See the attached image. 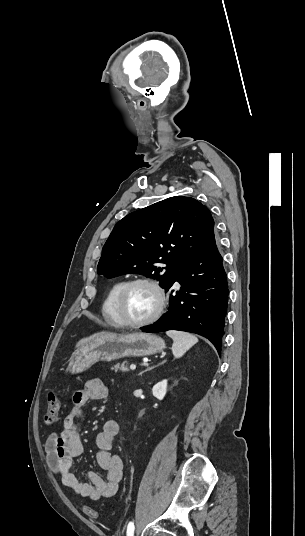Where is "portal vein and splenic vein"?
<instances>
[{
	"instance_id": "portal-vein-and-splenic-vein-1",
	"label": "portal vein and splenic vein",
	"mask_w": 305,
	"mask_h": 536,
	"mask_svg": "<svg viewBox=\"0 0 305 536\" xmlns=\"http://www.w3.org/2000/svg\"><path fill=\"white\" fill-rule=\"evenodd\" d=\"M130 370H136V366H134V364H132V366H130Z\"/></svg>"
}]
</instances>
